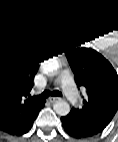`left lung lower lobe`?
Instances as JSON below:
<instances>
[{
	"mask_svg": "<svg viewBox=\"0 0 118 142\" xmlns=\"http://www.w3.org/2000/svg\"><path fill=\"white\" fill-rule=\"evenodd\" d=\"M61 121L65 130L70 135L78 138L88 137L98 133L92 130L85 122L77 118L72 113L68 114L65 117H62Z\"/></svg>",
	"mask_w": 118,
	"mask_h": 142,
	"instance_id": "0a47b994",
	"label": "left lung lower lobe"
}]
</instances>
